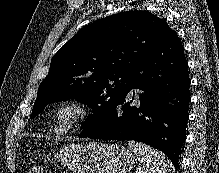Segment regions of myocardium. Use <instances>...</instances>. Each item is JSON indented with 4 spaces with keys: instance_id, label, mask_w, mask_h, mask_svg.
Here are the masks:
<instances>
[{
    "instance_id": "myocardium-1",
    "label": "myocardium",
    "mask_w": 219,
    "mask_h": 173,
    "mask_svg": "<svg viewBox=\"0 0 219 173\" xmlns=\"http://www.w3.org/2000/svg\"><path fill=\"white\" fill-rule=\"evenodd\" d=\"M64 112L68 113V117L61 121L60 116ZM89 114L90 109L84 102L74 98L62 100L51 112L53 130L58 135L69 134L84 122Z\"/></svg>"
}]
</instances>
